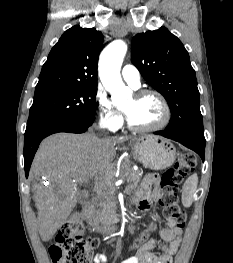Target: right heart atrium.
<instances>
[{
	"mask_svg": "<svg viewBox=\"0 0 233 263\" xmlns=\"http://www.w3.org/2000/svg\"><path fill=\"white\" fill-rule=\"evenodd\" d=\"M95 103L98 111V119L105 128L110 131H115L121 127L123 123L122 116L102 88H97L96 90Z\"/></svg>",
	"mask_w": 233,
	"mask_h": 263,
	"instance_id": "right-heart-atrium-1",
	"label": "right heart atrium"
}]
</instances>
